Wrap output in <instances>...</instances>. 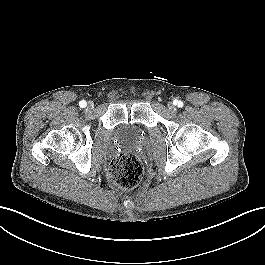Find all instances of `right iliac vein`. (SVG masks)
<instances>
[{
  "instance_id": "1",
  "label": "right iliac vein",
  "mask_w": 265,
  "mask_h": 265,
  "mask_svg": "<svg viewBox=\"0 0 265 265\" xmlns=\"http://www.w3.org/2000/svg\"><path fill=\"white\" fill-rule=\"evenodd\" d=\"M88 108H90V109L93 108V103H92V102H89V103H88Z\"/></svg>"
}]
</instances>
